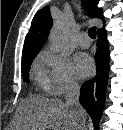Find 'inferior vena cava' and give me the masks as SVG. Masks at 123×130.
Returning <instances> with one entry per match:
<instances>
[{
  "label": "inferior vena cava",
  "instance_id": "1",
  "mask_svg": "<svg viewBox=\"0 0 123 130\" xmlns=\"http://www.w3.org/2000/svg\"><path fill=\"white\" fill-rule=\"evenodd\" d=\"M79 97H80V86L75 80H70L68 85V90L66 94V104L68 106L74 107L75 116L78 117L80 112V104H79ZM77 128H74L76 130Z\"/></svg>",
  "mask_w": 123,
  "mask_h": 130
}]
</instances>
